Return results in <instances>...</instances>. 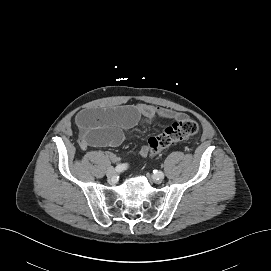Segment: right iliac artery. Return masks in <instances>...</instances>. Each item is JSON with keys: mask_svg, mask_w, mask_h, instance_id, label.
<instances>
[{"mask_svg": "<svg viewBox=\"0 0 271 271\" xmlns=\"http://www.w3.org/2000/svg\"><path fill=\"white\" fill-rule=\"evenodd\" d=\"M128 167L127 164H118L116 167H115V170L116 172H123L124 170H126Z\"/></svg>", "mask_w": 271, "mask_h": 271, "instance_id": "obj_1", "label": "right iliac artery"}]
</instances>
